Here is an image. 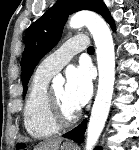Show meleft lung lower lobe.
Segmentation results:
<instances>
[{"mask_svg":"<svg viewBox=\"0 0 139 150\" xmlns=\"http://www.w3.org/2000/svg\"><path fill=\"white\" fill-rule=\"evenodd\" d=\"M105 20L111 25L112 28H114V21L112 17L110 16V13L105 16ZM86 124L87 121L84 120L79 126L71 130L70 132L62 135L65 138L72 139L78 143H82L84 141V132L86 130Z\"/></svg>","mask_w":139,"mask_h":150,"instance_id":"0a47b994","label":"left lung lower lobe"}]
</instances>
